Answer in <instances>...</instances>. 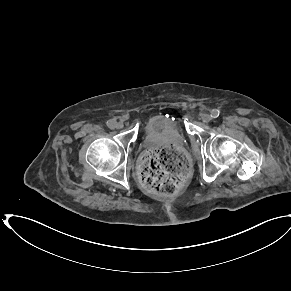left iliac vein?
<instances>
[{"mask_svg": "<svg viewBox=\"0 0 291 291\" xmlns=\"http://www.w3.org/2000/svg\"><path fill=\"white\" fill-rule=\"evenodd\" d=\"M211 116L209 115V114H204L203 116H202V121L204 122V123H209L210 121H211Z\"/></svg>", "mask_w": 291, "mask_h": 291, "instance_id": "left-iliac-vein-1", "label": "left iliac vein"}]
</instances>
